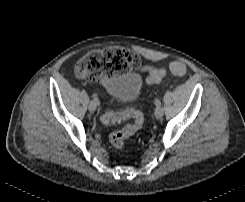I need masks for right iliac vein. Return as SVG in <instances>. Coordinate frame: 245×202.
<instances>
[{
  "label": "right iliac vein",
  "mask_w": 245,
  "mask_h": 202,
  "mask_svg": "<svg viewBox=\"0 0 245 202\" xmlns=\"http://www.w3.org/2000/svg\"><path fill=\"white\" fill-rule=\"evenodd\" d=\"M96 104L94 103V101H91L90 103H89V106H88V109H89V111L90 112H94L95 110H96Z\"/></svg>",
  "instance_id": "63e3f726"
}]
</instances>
